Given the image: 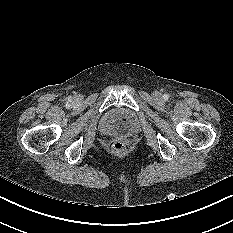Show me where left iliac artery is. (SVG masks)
<instances>
[{
	"label": "left iliac artery",
	"instance_id": "1",
	"mask_svg": "<svg viewBox=\"0 0 233 233\" xmlns=\"http://www.w3.org/2000/svg\"><path fill=\"white\" fill-rule=\"evenodd\" d=\"M165 99H168V95H165Z\"/></svg>",
	"mask_w": 233,
	"mask_h": 233
}]
</instances>
